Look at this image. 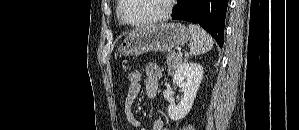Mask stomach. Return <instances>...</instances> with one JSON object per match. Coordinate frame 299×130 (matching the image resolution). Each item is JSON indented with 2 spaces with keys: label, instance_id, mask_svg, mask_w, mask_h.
<instances>
[{
  "label": "stomach",
  "instance_id": "stomach-1",
  "mask_svg": "<svg viewBox=\"0 0 299 130\" xmlns=\"http://www.w3.org/2000/svg\"><path fill=\"white\" fill-rule=\"evenodd\" d=\"M190 39L189 29L181 23L147 26L130 33L119 47L124 56H139L152 51H170Z\"/></svg>",
  "mask_w": 299,
  "mask_h": 130
}]
</instances>
